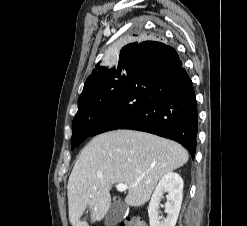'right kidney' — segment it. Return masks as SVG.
Instances as JSON below:
<instances>
[{
	"label": "right kidney",
	"instance_id": "1",
	"mask_svg": "<svg viewBox=\"0 0 247 226\" xmlns=\"http://www.w3.org/2000/svg\"><path fill=\"white\" fill-rule=\"evenodd\" d=\"M167 192V202L161 205L163 194ZM183 180L178 173L170 172L165 174L156 186L151 197L148 215L150 226H175L181 209L183 199ZM160 207L165 208L166 218L159 215Z\"/></svg>",
	"mask_w": 247,
	"mask_h": 226
}]
</instances>
